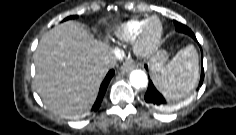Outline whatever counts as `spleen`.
I'll list each match as a JSON object with an SVG mask.
<instances>
[{
	"instance_id": "3e777b00",
	"label": "spleen",
	"mask_w": 236,
	"mask_h": 135,
	"mask_svg": "<svg viewBox=\"0 0 236 135\" xmlns=\"http://www.w3.org/2000/svg\"><path fill=\"white\" fill-rule=\"evenodd\" d=\"M156 88L170 99H180L191 92L199 77L198 54L193 45L181 49L167 65L151 67Z\"/></svg>"
}]
</instances>
